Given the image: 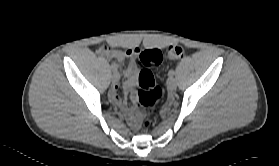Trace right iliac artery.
<instances>
[{
    "instance_id": "82829eb1",
    "label": "right iliac artery",
    "mask_w": 279,
    "mask_h": 166,
    "mask_svg": "<svg viewBox=\"0 0 279 166\" xmlns=\"http://www.w3.org/2000/svg\"><path fill=\"white\" fill-rule=\"evenodd\" d=\"M111 68H112L114 71H116L117 68H118V66H117L115 63H112V64H111Z\"/></svg>"
}]
</instances>
